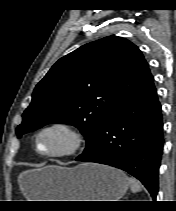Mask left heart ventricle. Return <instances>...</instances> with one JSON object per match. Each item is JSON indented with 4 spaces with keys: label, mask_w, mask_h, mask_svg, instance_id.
<instances>
[{
    "label": "left heart ventricle",
    "mask_w": 176,
    "mask_h": 211,
    "mask_svg": "<svg viewBox=\"0 0 176 211\" xmlns=\"http://www.w3.org/2000/svg\"><path fill=\"white\" fill-rule=\"evenodd\" d=\"M68 144L66 136L59 132H49L39 139V148L42 151H53L64 148Z\"/></svg>",
    "instance_id": "left-heart-ventricle-1"
}]
</instances>
